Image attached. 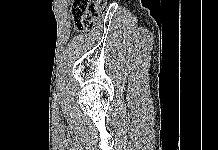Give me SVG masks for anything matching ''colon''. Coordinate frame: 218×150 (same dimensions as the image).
<instances>
[{
  "instance_id": "obj_1",
  "label": "colon",
  "mask_w": 218,
  "mask_h": 150,
  "mask_svg": "<svg viewBox=\"0 0 218 150\" xmlns=\"http://www.w3.org/2000/svg\"><path fill=\"white\" fill-rule=\"evenodd\" d=\"M105 5L106 0H75L72 7L74 30L77 32L90 30Z\"/></svg>"
}]
</instances>
